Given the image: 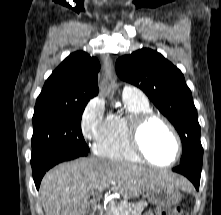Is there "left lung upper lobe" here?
<instances>
[{"instance_id":"obj_1","label":"left lung upper lobe","mask_w":221,"mask_h":215,"mask_svg":"<svg viewBox=\"0 0 221 215\" xmlns=\"http://www.w3.org/2000/svg\"><path fill=\"white\" fill-rule=\"evenodd\" d=\"M117 75L142 89L178 131L183 145L180 164L202 163L200 125L182 72L157 51L143 48L116 61Z\"/></svg>"}]
</instances>
